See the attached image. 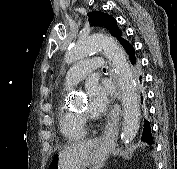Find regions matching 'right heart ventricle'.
<instances>
[{"label": "right heart ventricle", "mask_w": 177, "mask_h": 169, "mask_svg": "<svg viewBox=\"0 0 177 169\" xmlns=\"http://www.w3.org/2000/svg\"><path fill=\"white\" fill-rule=\"evenodd\" d=\"M58 119L60 131L67 140L77 141L86 137L87 128L84 121L63 104L58 108Z\"/></svg>", "instance_id": "right-heart-ventricle-1"}]
</instances>
